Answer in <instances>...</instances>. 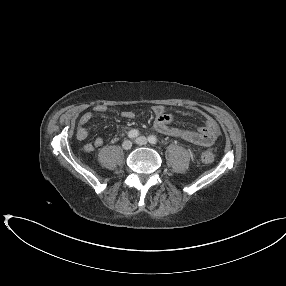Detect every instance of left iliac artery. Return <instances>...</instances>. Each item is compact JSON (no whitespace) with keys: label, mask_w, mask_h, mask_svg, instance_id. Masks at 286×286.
<instances>
[{"label":"left iliac artery","mask_w":286,"mask_h":286,"mask_svg":"<svg viewBox=\"0 0 286 286\" xmlns=\"http://www.w3.org/2000/svg\"><path fill=\"white\" fill-rule=\"evenodd\" d=\"M148 141L151 143V144H157L158 140L155 136L151 135L148 137Z\"/></svg>","instance_id":"left-iliac-artery-1"}]
</instances>
